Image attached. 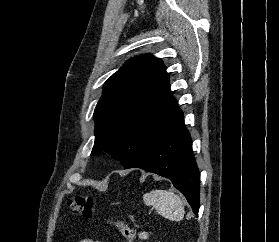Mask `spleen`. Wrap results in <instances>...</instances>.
Here are the masks:
<instances>
[{"mask_svg":"<svg viewBox=\"0 0 279 242\" xmlns=\"http://www.w3.org/2000/svg\"><path fill=\"white\" fill-rule=\"evenodd\" d=\"M146 205H152L156 211L167 219L181 221L185 210L180 197L171 192L161 189L152 190L143 195Z\"/></svg>","mask_w":279,"mask_h":242,"instance_id":"obj_1","label":"spleen"}]
</instances>
